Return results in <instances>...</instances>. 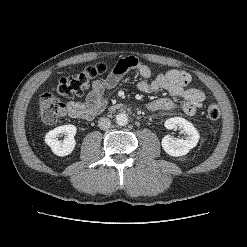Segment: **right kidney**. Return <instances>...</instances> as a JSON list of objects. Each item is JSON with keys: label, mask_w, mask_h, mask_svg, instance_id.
Here are the masks:
<instances>
[{"label": "right kidney", "mask_w": 247, "mask_h": 247, "mask_svg": "<svg viewBox=\"0 0 247 247\" xmlns=\"http://www.w3.org/2000/svg\"><path fill=\"white\" fill-rule=\"evenodd\" d=\"M76 131V126L71 124L56 127L46 134L45 142L57 156H67L72 153L75 148L76 141L74 136ZM61 133L66 135L62 142L57 138Z\"/></svg>", "instance_id": "right-kidney-1"}]
</instances>
